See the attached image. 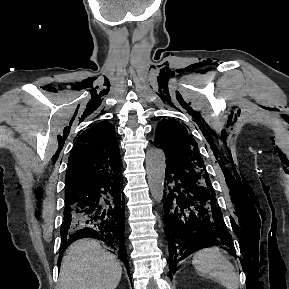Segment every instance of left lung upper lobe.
I'll return each instance as SVG.
<instances>
[{
  "instance_id": "left-lung-upper-lobe-1",
  "label": "left lung upper lobe",
  "mask_w": 289,
  "mask_h": 289,
  "mask_svg": "<svg viewBox=\"0 0 289 289\" xmlns=\"http://www.w3.org/2000/svg\"><path fill=\"white\" fill-rule=\"evenodd\" d=\"M165 152L166 165L184 171L194 179L211 184L203 160L198 152V144L187 129L169 119L158 123L155 146Z\"/></svg>"
}]
</instances>
